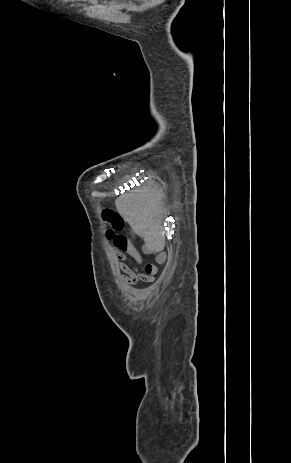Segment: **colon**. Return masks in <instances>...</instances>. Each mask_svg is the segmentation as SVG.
<instances>
[{"label":"colon","mask_w":291,"mask_h":463,"mask_svg":"<svg viewBox=\"0 0 291 463\" xmlns=\"http://www.w3.org/2000/svg\"><path fill=\"white\" fill-rule=\"evenodd\" d=\"M102 218L104 221L110 224V229L109 230H104L102 232V237L104 239H109L110 237L114 236H129L132 235L131 229L126 225L124 220L114 211L111 209L105 208L102 211ZM148 270H151L152 267L148 266Z\"/></svg>","instance_id":"1"}]
</instances>
